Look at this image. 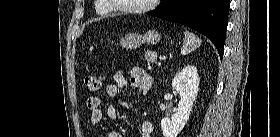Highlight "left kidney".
<instances>
[{"label":"left kidney","mask_w":280,"mask_h":137,"mask_svg":"<svg viewBox=\"0 0 280 137\" xmlns=\"http://www.w3.org/2000/svg\"><path fill=\"white\" fill-rule=\"evenodd\" d=\"M199 87L197 68L187 65L179 71L172 80V88L179 93L181 99L178 111L170 118L161 120V129L164 137H177L186 125Z\"/></svg>","instance_id":"obj_1"}]
</instances>
